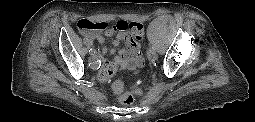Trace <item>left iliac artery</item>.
I'll list each match as a JSON object with an SVG mask.
<instances>
[{
  "label": "left iliac artery",
  "instance_id": "1",
  "mask_svg": "<svg viewBox=\"0 0 255 122\" xmlns=\"http://www.w3.org/2000/svg\"><path fill=\"white\" fill-rule=\"evenodd\" d=\"M150 53L156 52V49L152 46L149 48Z\"/></svg>",
  "mask_w": 255,
  "mask_h": 122
}]
</instances>
